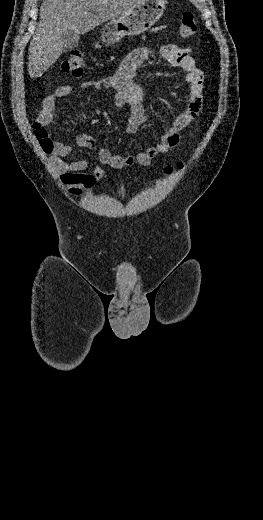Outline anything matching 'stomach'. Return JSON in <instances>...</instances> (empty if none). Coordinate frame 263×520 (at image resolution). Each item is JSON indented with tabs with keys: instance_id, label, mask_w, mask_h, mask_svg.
<instances>
[{
	"instance_id": "obj_1",
	"label": "stomach",
	"mask_w": 263,
	"mask_h": 520,
	"mask_svg": "<svg viewBox=\"0 0 263 520\" xmlns=\"http://www.w3.org/2000/svg\"><path fill=\"white\" fill-rule=\"evenodd\" d=\"M167 0H144L142 3L110 20L101 32L102 43L111 45L124 36H137L147 31L162 16Z\"/></svg>"
}]
</instances>
